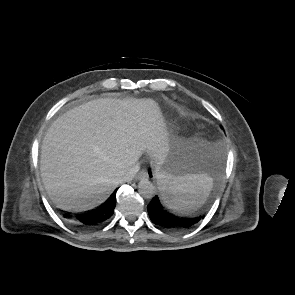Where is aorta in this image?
Returning a JSON list of instances; mask_svg holds the SVG:
<instances>
[{"instance_id":"1","label":"aorta","mask_w":295,"mask_h":295,"mask_svg":"<svg viewBox=\"0 0 295 295\" xmlns=\"http://www.w3.org/2000/svg\"><path fill=\"white\" fill-rule=\"evenodd\" d=\"M138 192L144 198L150 199L156 194V188L148 179H142L138 184Z\"/></svg>"}]
</instances>
